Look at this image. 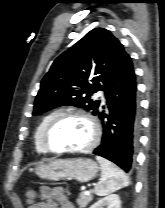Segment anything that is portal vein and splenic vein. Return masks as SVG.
I'll return each instance as SVG.
<instances>
[{
  "instance_id": "1",
  "label": "portal vein and splenic vein",
  "mask_w": 165,
  "mask_h": 208,
  "mask_svg": "<svg viewBox=\"0 0 165 208\" xmlns=\"http://www.w3.org/2000/svg\"><path fill=\"white\" fill-rule=\"evenodd\" d=\"M84 193H85L86 195H89V194H90V191L86 190Z\"/></svg>"
}]
</instances>
